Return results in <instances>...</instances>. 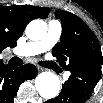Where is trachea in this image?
<instances>
[{
  "mask_svg": "<svg viewBox=\"0 0 103 103\" xmlns=\"http://www.w3.org/2000/svg\"><path fill=\"white\" fill-rule=\"evenodd\" d=\"M45 62H39L42 66L44 65ZM9 64L12 66H20L23 64V61L19 57H13L10 61Z\"/></svg>",
  "mask_w": 103,
  "mask_h": 103,
  "instance_id": "trachea-1",
  "label": "trachea"
}]
</instances>
